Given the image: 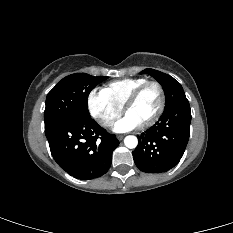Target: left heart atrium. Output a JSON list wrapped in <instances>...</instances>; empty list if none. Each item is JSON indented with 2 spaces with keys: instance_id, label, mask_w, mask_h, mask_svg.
Masks as SVG:
<instances>
[{
  "instance_id": "1",
  "label": "left heart atrium",
  "mask_w": 233,
  "mask_h": 233,
  "mask_svg": "<svg viewBox=\"0 0 233 233\" xmlns=\"http://www.w3.org/2000/svg\"><path fill=\"white\" fill-rule=\"evenodd\" d=\"M140 125L138 120L131 114L126 113L121 119H119L113 126L115 132H128L137 128Z\"/></svg>"
}]
</instances>
